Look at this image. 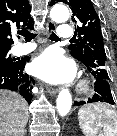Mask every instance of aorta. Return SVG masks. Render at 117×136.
Masks as SVG:
<instances>
[{"label":"aorta","mask_w":117,"mask_h":136,"mask_svg":"<svg viewBox=\"0 0 117 136\" xmlns=\"http://www.w3.org/2000/svg\"><path fill=\"white\" fill-rule=\"evenodd\" d=\"M69 10L66 6L56 5L50 11V17L58 23L66 22L69 19ZM57 110L61 116H65L71 109L72 97L68 89L60 91L57 97Z\"/></svg>","instance_id":"1"}]
</instances>
